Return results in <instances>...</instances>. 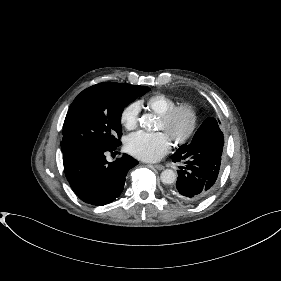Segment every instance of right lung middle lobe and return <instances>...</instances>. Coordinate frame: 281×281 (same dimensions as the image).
I'll return each instance as SVG.
<instances>
[{"label":"right lung middle lobe","instance_id":"right-lung-middle-lobe-1","mask_svg":"<svg viewBox=\"0 0 281 281\" xmlns=\"http://www.w3.org/2000/svg\"><path fill=\"white\" fill-rule=\"evenodd\" d=\"M150 91L146 86L116 88L97 84L71 104L63 125V161L87 149L109 148L120 141L121 114L130 102ZM117 136V137H116Z\"/></svg>","mask_w":281,"mask_h":281}]
</instances>
